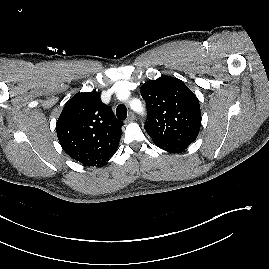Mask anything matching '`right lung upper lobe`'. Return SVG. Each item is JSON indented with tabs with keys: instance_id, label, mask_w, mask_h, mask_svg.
<instances>
[{
	"instance_id": "obj_1",
	"label": "right lung upper lobe",
	"mask_w": 269,
	"mask_h": 269,
	"mask_svg": "<svg viewBox=\"0 0 269 269\" xmlns=\"http://www.w3.org/2000/svg\"><path fill=\"white\" fill-rule=\"evenodd\" d=\"M122 125L94 91L76 94L65 104L56 132L71 158L86 166L102 167L117 150Z\"/></svg>"
}]
</instances>
